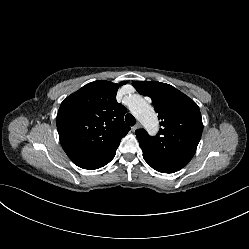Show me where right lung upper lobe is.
I'll list each match as a JSON object with an SVG mask.
<instances>
[{
    "label": "right lung upper lobe",
    "mask_w": 249,
    "mask_h": 249,
    "mask_svg": "<svg viewBox=\"0 0 249 249\" xmlns=\"http://www.w3.org/2000/svg\"><path fill=\"white\" fill-rule=\"evenodd\" d=\"M123 84L126 82H91L63 100L56 124L61 145L71 160L117 148L128 133L126 108L116 101Z\"/></svg>",
    "instance_id": "obj_1"
}]
</instances>
